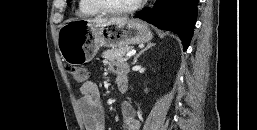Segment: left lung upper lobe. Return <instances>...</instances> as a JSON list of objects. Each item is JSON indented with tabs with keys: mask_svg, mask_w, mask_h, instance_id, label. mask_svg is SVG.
I'll return each instance as SVG.
<instances>
[{
	"mask_svg": "<svg viewBox=\"0 0 257 130\" xmlns=\"http://www.w3.org/2000/svg\"><path fill=\"white\" fill-rule=\"evenodd\" d=\"M71 0H67V3H69Z\"/></svg>",
	"mask_w": 257,
	"mask_h": 130,
	"instance_id": "5c2ea615",
	"label": "left lung upper lobe"
}]
</instances>
